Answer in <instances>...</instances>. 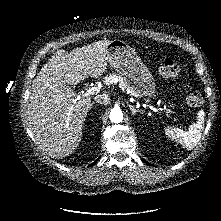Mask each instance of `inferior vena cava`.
Returning <instances> with one entry per match:
<instances>
[{
    "label": "inferior vena cava",
    "instance_id": "602c4592",
    "mask_svg": "<svg viewBox=\"0 0 221 221\" xmlns=\"http://www.w3.org/2000/svg\"><path fill=\"white\" fill-rule=\"evenodd\" d=\"M94 100L97 103L107 105L110 101V98L108 97V95L103 94V95H96Z\"/></svg>",
    "mask_w": 221,
    "mask_h": 221
}]
</instances>
